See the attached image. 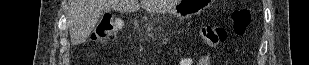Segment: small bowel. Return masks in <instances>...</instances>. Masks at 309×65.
Instances as JSON below:
<instances>
[{"instance_id":"1","label":"small bowel","mask_w":309,"mask_h":65,"mask_svg":"<svg viewBox=\"0 0 309 65\" xmlns=\"http://www.w3.org/2000/svg\"><path fill=\"white\" fill-rule=\"evenodd\" d=\"M210 65L211 60L208 55H201L197 58L196 62L190 57L183 58L179 61L177 65Z\"/></svg>"}]
</instances>
